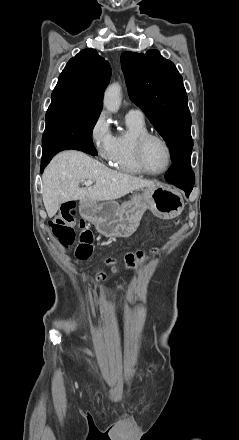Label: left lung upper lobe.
Segmentation results:
<instances>
[{
    "label": "left lung upper lobe",
    "instance_id": "1",
    "mask_svg": "<svg viewBox=\"0 0 239 440\" xmlns=\"http://www.w3.org/2000/svg\"><path fill=\"white\" fill-rule=\"evenodd\" d=\"M122 70L130 99L169 145L172 161L191 154V115L182 76L157 50L123 52Z\"/></svg>",
    "mask_w": 239,
    "mask_h": 440
}]
</instances>
